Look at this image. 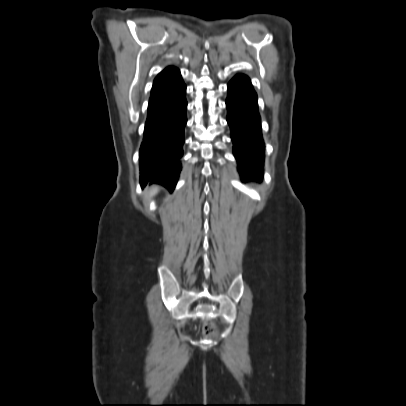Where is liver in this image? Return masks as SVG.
<instances>
[{
	"instance_id": "6515ba94",
	"label": "liver",
	"mask_w": 406,
	"mask_h": 406,
	"mask_svg": "<svg viewBox=\"0 0 406 406\" xmlns=\"http://www.w3.org/2000/svg\"><path fill=\"white\" fill-rule=\"evenodd\" d=\"M156 191H157V189H153V190H152V193H155Z\"/></svg>"
}]
</instances>
